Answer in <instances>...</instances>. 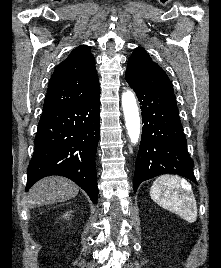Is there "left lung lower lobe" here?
<instances>
[{"label":"left lung lower lobe","instance_id":"1","mask_svg":"<svg viewBox=\"0 0 221 268\" xmlns=\"http://www.w3.org/2000/svg\"><path fill=\"white\" fill-rule=\"evenodd\" d=\"M128 84L140 101L144 123L134 192L143 181L165 173L184 176L197 184L174 95Z\"/></svg>","mask_w":221,"mask_h":268}]
</instances>
